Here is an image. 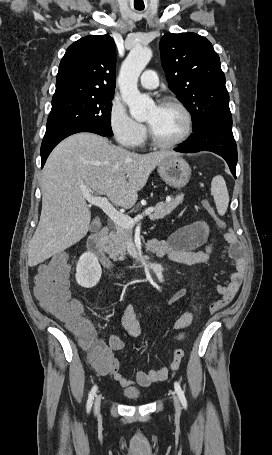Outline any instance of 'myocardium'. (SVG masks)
Segmentation results:
<instances>
[{
	"label": "myocardium",
	"instance_id": "myocardium-1",
	"mask_svg": "<svg viewBox=\"0 0 272 455\" xmlns=\"http://www.w3.org/2000/svg\"><path fill=\"white\" fill-rule=\"evenodd\" d=\"M158 106H160V107L174 106L177 109H179L185 119V128H184L183 133L177 139L170 141V142H164V141L159 140L154 135L152 129L148 125L147 126L148 137H149L151 144L153 146H155L157 148H161V149H170V148H174V147L181 145L190 137V135L193 132V117H192L190 110L181 101H179L175 98H170V97L162 99L159 102Z\"/></svg>",
	"mask_w": 272,
	"mask_h": 455
}]
</instances>
